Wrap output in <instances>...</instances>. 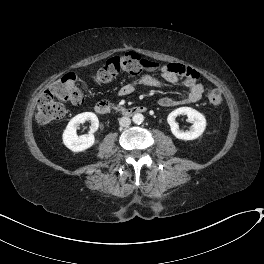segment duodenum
<instances>
[{"instance_id": "obj_1", "label": "duodenum", "mask_w": 264, "mask_h": 264, "mask_svg": "<svg viewBox=\"0 0 264 264\" xmlns=\"http://www.w3.org/2000/svg\"><path fill=\"white\" fill-rule=\"evenodd\" d=\"M95 111L100 115H107L111 111V106L108 101H99L95 105ZM120 114L125 117H131L136 114H142L146 112V108L143 106H130L122 107Z\"/></svg>"}]
</instances>
